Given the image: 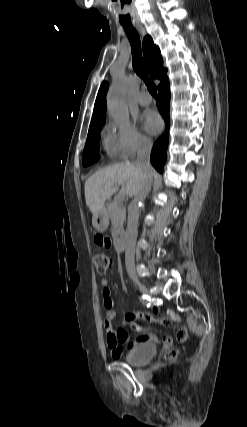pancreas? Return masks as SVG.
<instances>
[{"instance_id": "obj_1", "label": "pancreas", "mask_w": 247, "mask_h": 427, "mask_svg": "<svg viewBox=\"0 0 247 427\" xmlns=\"http://www.w3.org/2000/svg\"><path fill=\"white\" fill-rule=\"evenodd\" d=\"M107 213L119 232H123V224L126 218V208L122 201L113 200L108 204Z\"/></svg>"}]
</instances>
